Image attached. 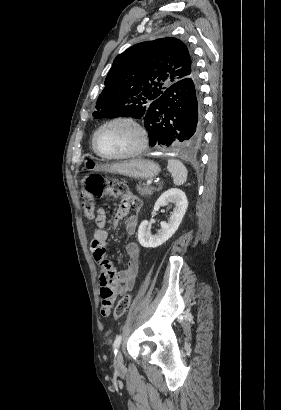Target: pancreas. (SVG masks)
<instances>
[{
	"mask_svg": "<svg viewBox=\"0 0 281 410\" xmlns=\"http://www.w3.org/2000/svg\"><path fill=\"white\" fill-rule=\"evenodd\" d=\"M156 190L158 189L154 187H150L148 185H141V184L137 185V191L141 196H150Z\"/></svg>",
	"mask_w": 281,
	"mask_h": 410,
	"instance_id": "1",
	"label": "pancreas"
}]
</instances>
